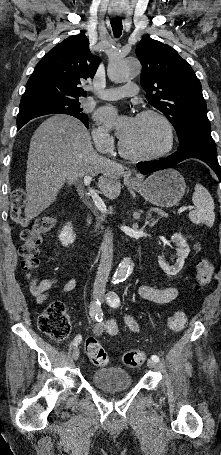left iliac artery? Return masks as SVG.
<instances>
[{
	"label": "left iliac artery",
	"mask_w": 221,
	"mask_h": 455,
	"mask_svg": "<svg viewBox=\"0 0 221 455\" xmlns=\"http://www.w3.org/2000/svg\"><path fill=\"white\" fill-rule=\"evenodd\" d=\"M107 303L111 307L116 308L120 305V298L115 292L110 291L107 293ZM151 359L154 360L155 362H159V357L157 355H152Z\"/></svg>",
	"instance_id": "1"
}]
</instances>
